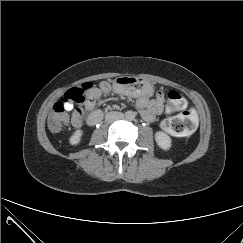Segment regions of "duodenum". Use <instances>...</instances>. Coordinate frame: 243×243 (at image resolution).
Here are the masks:
<instances>
[{
  "instance_id": "obj_1",
  "label": "duodenum",
  "mask_w": 243,
  "mask_h": 243,
  "mask_svg": "<svg viewBox=\"0 0 243 243\" xmlns=\"http://www.w3.org/2000/svg\"><path fill=\"white\" fill-rule=\"evenodd\" d=\"M103 118V112L101 110L93 111L88 117V124L94 126L98 124Z\"/></svg>"
}]
</instances>
